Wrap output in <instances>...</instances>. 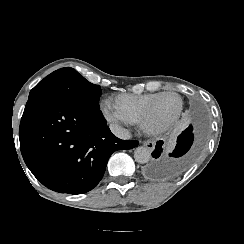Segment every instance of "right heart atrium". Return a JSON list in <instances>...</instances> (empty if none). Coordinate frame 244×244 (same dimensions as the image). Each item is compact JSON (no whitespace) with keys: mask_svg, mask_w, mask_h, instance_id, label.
<instances>
[{"mask_svg":"<svg viewBox=\"0 0 244 244\" xmlns=\"http://www.w3.org/2000/svg\"><path fill=\"white\" fill-rule=\"evenodd\" d=\"M111 104H105L102 108L105 118L111 124L118 125L120 123L130 122V109L124 106L121 109L112 108Z\"/></svg>","mask_w":244,"mask_h":244,"instance_id":"1","label":"right heart atrium"}]
</instances>
